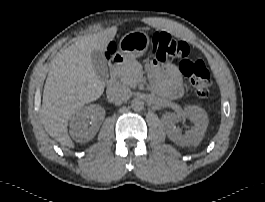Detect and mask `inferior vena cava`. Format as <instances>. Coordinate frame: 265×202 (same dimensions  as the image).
<instances>
[{
    "mask_svg": "<svg viewBox=\"0 0 265 202\" xmlns=\"http://www.w3.org/2000/svg\"><path fill=\"white\" fill-rule=\"evenodd\" d=\"M107 97L111 102L122 103L131 97V90L122 84H113L107 88Z\"/></svg>",
    "mask_w": 265,
    "mask_h": 202,
    "instance_id": "602c4592",
    "label": "inferior vena cava"
}]
</instances>
